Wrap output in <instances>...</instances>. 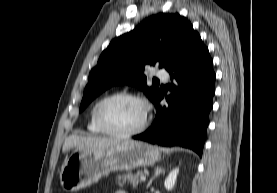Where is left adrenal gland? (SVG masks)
Instances as JSON below:
<instances>
[{
	"label": "left adrenal gland",
	"mask_w": 277,
	"mask_h": 193,
	"mask_svg": "<svg viewBox=\"0 0 277 193\" xmlns=\"http://www.w3.org/2000/svg\"><path fill=\"white\" fill-rule=\"evenodd\" d=\"M164 172H165V170H164L162 167L157 166V167L155 168L154 175H153L152 178L149 180V182H148L146 188H149L150 185L152 184V181H153L157 176H159L160 174H162V173H164Z\"/></svg>",
	"instance_id": "obj_1"
}]
</instances>
